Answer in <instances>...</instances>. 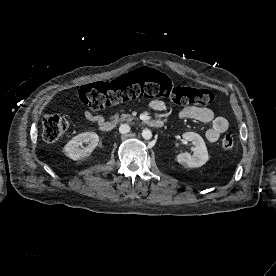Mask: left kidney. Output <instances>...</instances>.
<instances>
[{
  "instance_id": "5707ae66",
  "label": "left kidney",
  "mask_w": 276,
  "mask_h": 276,
  "mask_svg": "<svg viewBox=\"0 0 276 276\" xmlns=\"http://www.w3.org/2000/svg\"><path fill=\"white\" fill-rule=\"evenodd\" d=\"M183 139L186 141H191L194 147L191 155L188 152L180 153L177 155L178 163L188 166L189 168H197L204 165L208 159V151L203 138L195 132H186L182 135Z\"/></svg>"
}]
</instances>
